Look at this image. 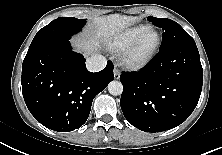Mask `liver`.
Returning a JSON list of instances; mask_svg holds the SVG:
<instances>
[{"mask_svg": "<svg viewBox=\"0 0 222 155\" xmlns=\"http://www.w3.org/2000/svg\"><path fill=\"white\" fill-rule=\"evenodd\" d=\"M137 19V17L120 14L96 17L92 21L90 34L87 37L74 38L73 42L77 48L85 50L86 54H94L100 46L101 39L120 33Z\"/></svg>", "mask_w": 222, "mask_h": 155, "instance_id": "1", "label": "liver"}]
</instances>
